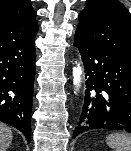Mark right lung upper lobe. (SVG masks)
I'll return each mask as SVG.
<instances>
[{"mask_svg":"<svg viewBox=\"0 0 131 151\" xmlns=\"http://www.w3.org/2000/svg\"><path fill=\"white\" fill-rule=\"evenodd\" d=\"M35 16L30 0H0V40H14L37 33Z\"/></svg>","mask_w":131,"mask_h":151,"instance_id":"cb5924a9","label":"right lung upper lobe"}]
</instances>
